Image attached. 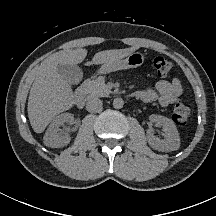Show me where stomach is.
<instances>
[{"instance_id": "obj_1", "label": "stomach", "mask_w": 216, "mask_h": 216, "mask_svg": "<svg viewBox=\"0 0 216 216\" xmlns=\"http://www.w3.org/2000/svg\"><path fill=\"white\" fill-rule=\"evenodd\" d=\"M144 55L140 52L129 54L125 59L118 60L112 64L104 65L100 68L99 73L106 74L113 71L137 68L144 62Z\"/></svg>"}]
</instances>
